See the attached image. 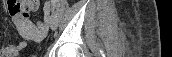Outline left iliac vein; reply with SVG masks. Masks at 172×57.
Returning <instances> with one entry per match:
<instances>
[{"label": "left iliac vein", "instance_id": "4c4485c4", "mask_svg": "<svg viewBox=\"0 0 172 57\" xmlns=\"http://www.w3.org/2000/svg\"><path fill=\"white\" fill-rule=\"evenodd\" d=\"M48 11H49V5H47L45 8V12ZM45 20L48 22L51 29L53 30L56 29L58 20H57V15L54 12L51 15L46 14Z\"/></svg>", "mask_w": 172, "mask_h": 57}]
</instances>
